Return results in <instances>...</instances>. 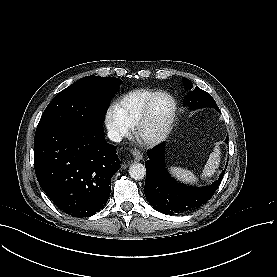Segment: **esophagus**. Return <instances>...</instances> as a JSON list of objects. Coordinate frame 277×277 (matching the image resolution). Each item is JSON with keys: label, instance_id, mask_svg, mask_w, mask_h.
Returning <instances> with one entry per match:
<instances>
[{"label": "esophagus", "instance_id": "esophagus-1", "mask_svg": "<svg viewBox=\"0 0 277 277\" xmlns=\"http://www.w3.org/2000/svg\"><path fill=\"white\" fill-rule=\"evenodd\" d=\"M132 154L135 161H141L143 159L142 153L137 149H133Z\"/></svg>", "mask_w": 277, "mask_h": 277}]
</instances>
